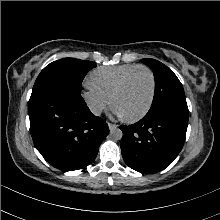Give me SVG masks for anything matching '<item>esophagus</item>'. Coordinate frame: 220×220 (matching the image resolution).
Instances as JSON below:
<instances>
[{
	"mask_svg": "<svg viewBox=\"0 0 220 220\" xmlns=\"http://www.w3.org/2000/svg\"><path fill=\"white\" fill-rule=\"evenodd\" d=\"M109 129L113 130L116 129L118 126L116 124L108 123Z\"/></svg>",
	"mask_w": 220,
	"mask_h": 220,
	"instance_id": "obj_1",
	"label": "esophagus"
}]
</instances>
